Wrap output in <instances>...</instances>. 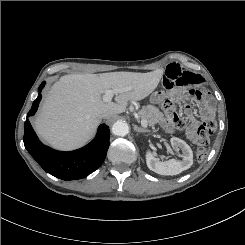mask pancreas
<instances>
[{"mask_svg":"<svg viewBox=\"0 0 245 245\" xmlns=\"http://www.w3.org/2000/svg\"><path fill=\"white\" fill-rule=\"evenodd\" d=\"M139 115L141 120H146L147 125L154 127V125L162 118L163 114L155 106L148 105L139 111Z\"/></svg>","mask_w":245,"mask_h":245,"instance_id":"1","label":"pancreas"}]
</instances>
